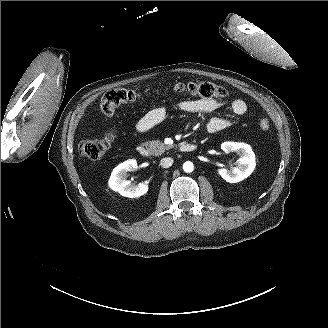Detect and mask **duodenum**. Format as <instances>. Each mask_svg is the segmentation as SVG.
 <instances>
[{
    "label": "duodenum",
    "instance_id": "obj_1",
    "mask_svg": "<svg viewBox=\"0 0 328 328\" xmlns=\"http://www.w3.org/2000/svg\"><path fill=\"white\" fill-rule=\"evenodd\" d=\"M195 149H196V145L193 144V143H184V144H182V145L179 147V150H180L181 152H185V153H187V152H192V151H194ZM137 152H138V154H139L140 156H142V157H148V156H149V150H148V148H147L145 145H143V144L137 146Z\"/></svg>",
    "mask_w": 328,
    "mask_h": 328
}]
</instances>
